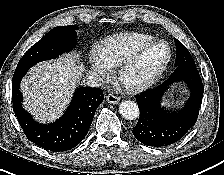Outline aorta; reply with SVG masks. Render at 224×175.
Here are the masks:
<instances>
[{
    "mask_svg": "<svg viewBox=\"0 0 224 175\" xmlns=\"http://www.w3.org/2000/svg\"><path fill=\"white\" fill-rule=\"evenodd\" d=\"M119 111L121 116L127 120L136 119L140 113L137 103L130 100L123 101L120 104Z\"/></svg>",
    "mask_w": 224,
    "mask_h": 175,
    "instance_id": "762f6f07",
    "label": "aorta"
}]
</instances>
